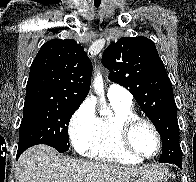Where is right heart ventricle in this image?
Wrapping results in <instances>:
<instances>
[{
  "mask_svg": "<svg viewBox=\"0 0 196 182\" xmlns=\"http://www.w3.org/2000/svg\"><path fill=\"white\" fill-rule=\"evenodd\" d=\"M110 104L113 114L98 119L95 139L87 154L94 160L107 163L140 164L142 160L126 153L122 149L118 138V123L120 120L136 115L132 104L116 100H110Z\"/></svg>",
  "mask_w": 196,
  "mask_h": 182,
  "instance_id": "e07e8e85",
  "label": "right heart ventricle"
}]
</instances>
